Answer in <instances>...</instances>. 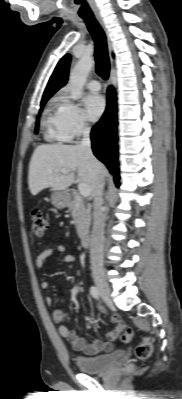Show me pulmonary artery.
Wrapping results in <instances>:
<instances>
[{
  "label": "pulmonary artery",
  "instance_id": "e3ab8cb5",
  "mask_svg": "<svg viewBox=\"0 0 182 399\" xmlns=\"http://www.w3.org/2000/svg\"><path fill=\"white\" fill-rule=\"evenodd\" d=\"M87 87L92 91V92H98L101 89V84L97 80H91L88 82Z\"/></svg>",
  "mask_w": 182,
  "mask_h": 399
}]
</instances>
